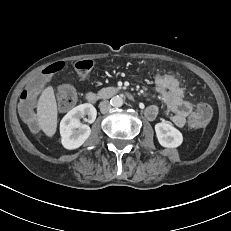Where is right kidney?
Masks as SVG:
<instances>
[{
    "label": "right kidney",
    "mask_w": 231,
    "mask_h": 231,
    "mask_svg": "<svg viewBox=\"0 0 231 231\" xmlns=\"http://www.w3.org/2000/svg\"><path fill=\"white\" fill-rule=\"evenodd\" d=\"M87 116V118H85ZM97 111L92 104L85 103L70 110L60 122L61 143L68 150L77 149L84 144L91 134L88 125L80 122L84 118L86 122L93 123Z\"/></svg>",
    "instance_id": "1"
}]
</instances>
